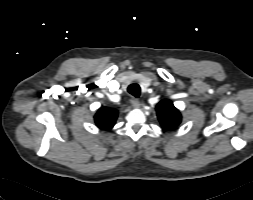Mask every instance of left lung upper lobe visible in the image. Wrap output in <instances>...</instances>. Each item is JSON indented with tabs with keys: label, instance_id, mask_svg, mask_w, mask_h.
I'll return each instance as SVG.
<instances>
[{
	"label": "left lung upper lobe",
	"instance_id": "5c2ea615",
	"mask_svg": "<svg viewBox=\"0 0 253 200\" xmlns=\"http://www.w3.org/2000/svg\"><path fill=\"white\" fill-rule=\"evenodd\" d=\"M157 116L163 128L172 130L181 122V114L169 100H162L156 106Z\"/></svg>",
	"mask_w": 253,
	"mask_h": 200
}]
</instances>
